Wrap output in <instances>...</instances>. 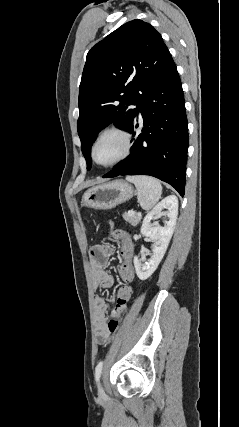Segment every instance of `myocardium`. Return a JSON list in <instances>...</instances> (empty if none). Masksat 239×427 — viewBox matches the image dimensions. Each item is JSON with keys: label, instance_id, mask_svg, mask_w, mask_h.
Here are the masks:
<instances>
[{"label": "myocardium", "instance_id": "myocardium-1", "mask_svg": "<svg viewBox=\"0 0 239 427\" xmlns=\"http://www.w3.org/2000/svg\"><path fill=\"white\" fill-rule=\"evenodd\" d=\"M108 134H117V135H119L123 139L124 150H123L122 154L117 159H115L112 162L103 164V163H100V162H98L96 160V158H95V149H96V146L99 143V141L105 135H108ZM132 147H133V138H132V135L126 129H124L122 127H119V126L107 127L104 130H102L98 134V136L96 137V139H95V141H94V143H93V145L91 147V158H92L93 162L96 165L104 167V168H111V167H114V166L118 165L119 163H121L122 161H124L126 158H128L129 155L132 152Z\"/></svg>", "mask_w": 239, "mask_h": 427}]
</instances>
